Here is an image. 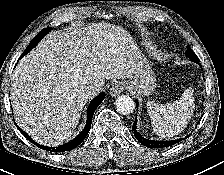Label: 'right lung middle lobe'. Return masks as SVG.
Returning <instances> with one entry per match:
<instances>
[{"label":"right lung middle lobe","instance_id":"right-lung-middle-lobe-1","mask_svg":"<svg viewBox=\"0 0 224 175\" xmlns=\"http://www.w3.org/2000/svg\"><path fill=\"white\" fill-rule=\"evenodd\" d=\"M52 28L48 27V28H45L43 29L32 41L31 43L29 44L28 47H31V46H36L38 44V42L46 35L48 34L50 31H51ZM27 47V48H28Z\"/></svg>","mask_w":224,"mask_h":175}]
</instances>
